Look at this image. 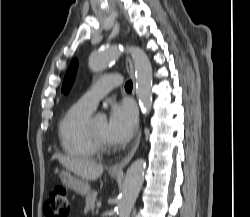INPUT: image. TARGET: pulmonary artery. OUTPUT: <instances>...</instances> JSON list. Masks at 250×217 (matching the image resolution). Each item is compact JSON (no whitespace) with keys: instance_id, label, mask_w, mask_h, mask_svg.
I'll list each match as a JSON object with an SVG mask.
<instances>
[{"instance_id":"obj_1","label":"pulmonary artery","mask_w":250,"mask_h":217,"mask_svg":"<svg viewBox=\"0 0 250 217\" xmlns=\"http://www.w3.org/2000/svg\"><path fill=\"white\" fill-rule=\"evenodd\" d=\"M121 84L122 78L120 75H104L82 95L80 101L91 109H94L101 98Z\"/></svg>"}]
</instances>
